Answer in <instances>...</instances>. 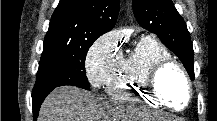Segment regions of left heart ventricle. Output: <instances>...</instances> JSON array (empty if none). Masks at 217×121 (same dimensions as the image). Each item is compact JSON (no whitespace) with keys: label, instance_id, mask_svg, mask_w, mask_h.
Instances as JSON below:
<instances>
[{"label":"left heart ventricle","instance_id":"1","mask_svg":"<svg viewBox=\"0 0 217 121\" xmlns=\"http://www.w3.org/2000/svg\"><path fill=\"white\" fill-rule=\"evenodd\" d=\"M163 98L175 108H181L187 101V88L181 74L174 68L164 71L158 80Z\"/></svg>","mask_w":217,"mask_h":121}]
</instances>
